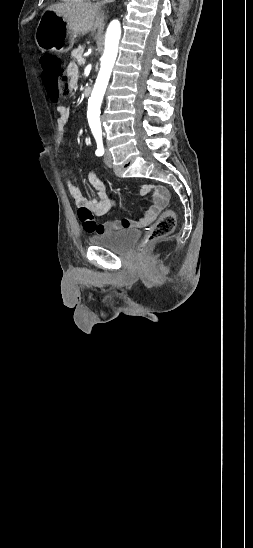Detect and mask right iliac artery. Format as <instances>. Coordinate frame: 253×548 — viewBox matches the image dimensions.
Returning a JSON list of instances; mask_svg holds the SVG:
<instances>
[{"label":"right iliac artery","mask_w":253,"mask_h":548,"mask_svg":"<svg viewBox=\"0 0 253 548\" xmlns=\"http://www.w3.org/2000/svg\"><path fill=\"white\" fill-rule=\"evenodd\" d=\"M95 153L97 156H102L104 154V147L102 142H97V149Z\"/></svg>","instance_id":"82829eb1"}]
</instances>
